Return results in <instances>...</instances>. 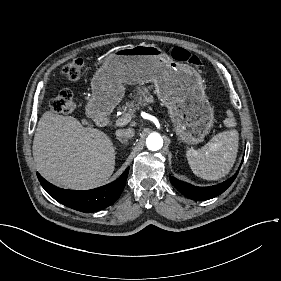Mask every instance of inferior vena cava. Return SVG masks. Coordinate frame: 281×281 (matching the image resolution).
I'll use <instances>...</instances> for the list:
<instances>
[{"label":"inferior vena cava","instance_id":"602c4592","mask_svg":"<svg viewBox=\"0 0 281 281\" xmlns=\"http://www.w3.org/2000/svg\"><path fill=\"white\" fill-rule=\"evenodd\" d=\"M135 134L134 129L128 128V129H121L116 131V135L119 138L127 139L133 137Z\"/></svg>","mask_w":281,"mask_h":281}]
</instances>
